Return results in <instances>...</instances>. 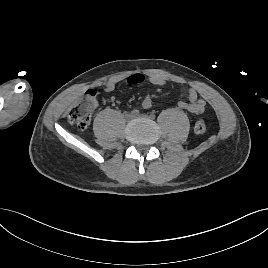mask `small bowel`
Here are the masks:
<instances>
[{
    "label": "small bowel",
    "mask_w": 268,
    "mask_h": 268,
    "mask_svg": "<svg viewBox=\"0 0 268 268\" xmlns=\"http://www.w3.org/2000/svg\"><path fill=\"white\" fill-rule=\"evenodd\" d=\"M147 80L149 83L155 86H164L166 80L159 75H149L145 77L143 74L136 73L127 78L129 84H140ZM115 88L114 82H108L104 86V91L110 92ZM181 93L186 97V100H181L178 102V108L186 110L192 114H201L203 113L206 102L198 97L197 90L195 88H185L181 89ZM152 99L150 96L144 97L142 100V107L148 109L152 106Z\"/></svg>",
    "instance_id": "c3829d8e"
}]
</instances>
